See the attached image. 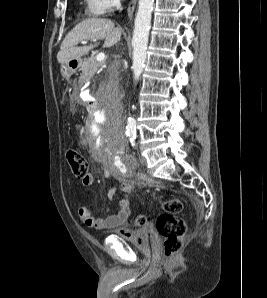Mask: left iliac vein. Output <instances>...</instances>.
Listing matches in <instances>:
<instances>
[{
	"label": "left iliac vein",
	"mask_w": 267,
	"mask_h": 298,
	"mask_svg": "<svg viewBox=\"0 0 267 298\" xmlns=\"http://www.w3.org/2000/svg\"><path fill=\"white\" fill-rule=\"evenodd\" d=\"M139 162H140V164L143 165V166H145V165L147 164V161H146V159H145L143 156H140V158H139Z\"/></svg>",
	"instance_id": "left-iliac-vein-1"
}]
</instances>
